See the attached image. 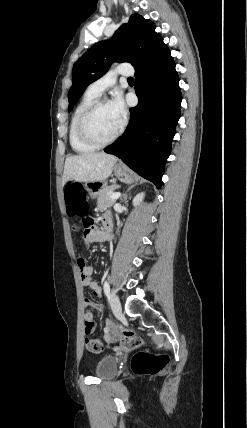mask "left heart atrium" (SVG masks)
<instances>
[{
    "label": "left heart atrium",
    "instance_id": "obj_1",
    "mask_svg": "<svg viewBox=\"0 0 247 428\" xmlns=\"http://www.w3.org/2000/svg\"><path fill=\"white\" fill-rule=\"evenodd\" d=\"M107 106L115 122L118 126H122L126 119V108L122 97L115 96L107 103Z\"/></svg>",
    "mask_w": 247,
    "mask_h": 428
}]
</instances>
